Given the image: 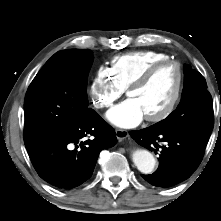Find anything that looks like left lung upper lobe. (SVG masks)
<instances>
[{
    "mask_svg": "<svg viewBox=\"0 0 221 221\" xmlns=\"http://www.w3.org/2000/svg\"><path fill=\"white\" fill-rule=\"evenodd\" d=\"M184 88L177 109L154 124L164 132L193 131L211 134L214 126L213 102L204 77L190 66L184 68Z\"/></svg>",
    "mask_w": 221,
    "mask_h": 221,
    "instance_id": "left-lung-upper-lobe-1",
    "label": "left lung upper lobe"
}]
</instances>
